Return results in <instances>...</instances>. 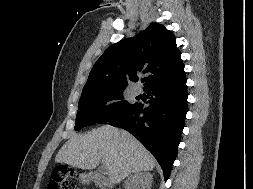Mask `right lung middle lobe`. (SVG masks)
<instances>
[{"instance_id": "dd1d6c3e", "label": "right lung middle lobe", "mask_w": 253, "mask_h": 189, "mask_svg": "<svg viewBox=\"0 0 253 189\" xmlns=\"http://www.w3.org/2000/svg\"><path fill=\"white\" fill-rule=\"evenodd\" d=\"M125 87H101L82 91L76 116L75 130L95 123H107L134 107L124 100ZM119 100L105 106L108 101Z\"/></svg>"}]
</instances>
